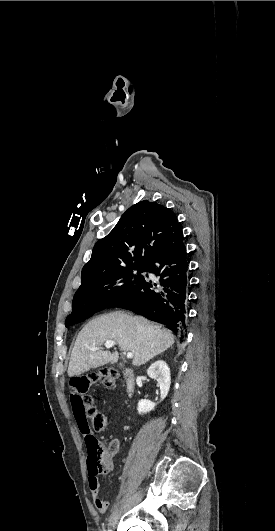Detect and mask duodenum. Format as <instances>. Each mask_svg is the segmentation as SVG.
Segmentation results:
<instances>
[{
	"instance_id": "410a0bca",
	"label": "duodenum",
	"mask_w": 275,
	"mask_h": 531,
	"mask_svg": "<svg viewBox=\"0 0 275 531\" xmlns=\"http://www.w3.org/2000/svg\"><path fill=\"white\" fill-rule=\"evenodd\" d=\"M122 376L129 396L133 395L136 386V377L132 368L126 367L122 370Z\"/></svg>"
}]
</instances>
